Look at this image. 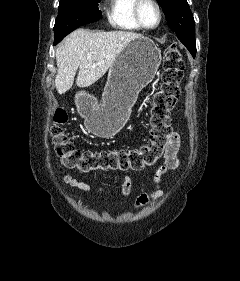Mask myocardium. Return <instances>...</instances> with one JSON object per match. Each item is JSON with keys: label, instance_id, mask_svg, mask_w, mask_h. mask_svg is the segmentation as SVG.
I'll return each mask as SVG.
<instances>
[{"label": "myocardium", "instance_id": "1", "mask_svg": "<svg viewBox=\"0 0 240 281\" xmlns=\"http://www.w3.org/2000/svg\"><path fill=\"white\" fill-rule=\"evenodd\" d=\"M145 2L152 3L155 6L156 10H157L158 20H157V23L155 25H153V26L146 25L143 22V20H142L140 10H141L142 4L145 3ZM133 13H134L135 20L139 24V26L142 29H146V30L156 29L157 27L160 26V24H161V22L163 20V11H162V7H161V5H160L158 0H136L134 8H133Z\"/></svg>", "mask_w": 240, "mask_h": 281}]
</instances>
